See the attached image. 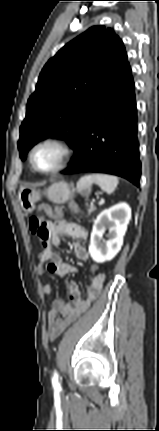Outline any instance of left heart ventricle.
I'll use <instances>...</instances> for the list:
<instances>
[{
	"label": "left heart ventricle",
	"mask_w": 159,
	"mask_h": 431,
	"mask_svg": "<svg viewBox=\"0 0 159 431\" xmlns=\"http://www.w3.org/2000/svg\"><path fill=\"white\" fill-rule=\"evenodd\" d=\"M61 159V151L53 145L39 147L34 153V163L40 170H50L54 168Z\"/></svg>",
	"instance_id": "b2bd125f"
}]
</instances>
